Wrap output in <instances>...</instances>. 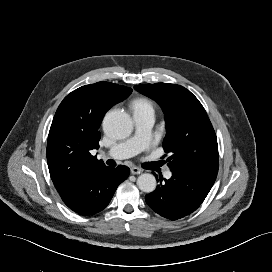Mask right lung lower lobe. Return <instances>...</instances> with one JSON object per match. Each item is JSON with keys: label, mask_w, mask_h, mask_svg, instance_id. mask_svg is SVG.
I'll return each mask as SVG.
<instances>
[{"label": "right lung lower lobe", "mask_w": 272, "mask_h": 272, "mask_svg": "<svg viewBox=\"0 0 272 272\" xmlns=\"http://www.w3.org/2000/svg\"><path fill=\"white\" fill-rule=\"evenodd\" d=\"M126 166L104 167L86 176L78 187L60 193L64 203L81 215H92L103 210L121 182L129 176Z\"/></svg>", "instance_id": "1"}]
</instances>
